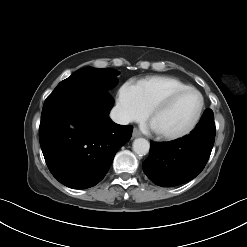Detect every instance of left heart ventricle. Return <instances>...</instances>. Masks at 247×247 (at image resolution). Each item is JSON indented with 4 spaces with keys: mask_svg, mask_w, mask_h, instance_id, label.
Segmentation results:
<instances>
[{
    "mask_svg": "<svg viewBox=\"0 0 247 247\" xmlns=\"http://www.w3.org/2000/svg\"><path fill=\"white\" fill-rule=\"evenodd\" d=\"M199 105L200 98L197 93H183L177 96L167 108L154 115L150 124L160 133H178L190 125Z\"/></svg>",
    "mask_w": 247,
    "mask_h": 247,
    "instance_id": "obj_1",
    "label": "left heart ventricle"
}]
</instances>
